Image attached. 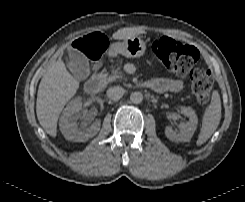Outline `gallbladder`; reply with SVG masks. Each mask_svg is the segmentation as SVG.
<instances>
[{
  "label": "gallbladder",
  "instance_id": "gallbladder-1",
  "mask_svg": "<svg viewBox=\"0 0 245 202\" xmlns=\"http://www.w3.org/2000/svg\"><path fill=\"white\" fill-rule=\"evenodd\" d=\"M68 67L73 76L79 80H86L90 75V65L88 58L76 49H69Z\"/></svg>",
  "mask_w": 245,
  "mask_h": 202
}]
</instances>
